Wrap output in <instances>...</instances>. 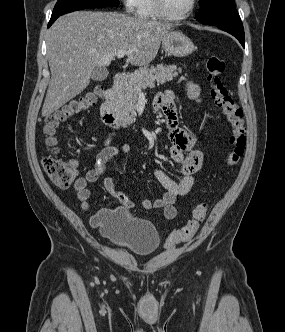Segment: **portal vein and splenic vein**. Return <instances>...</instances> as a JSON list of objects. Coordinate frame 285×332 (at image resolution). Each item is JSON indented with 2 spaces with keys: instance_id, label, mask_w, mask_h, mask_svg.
<instances>
[{
  "instance_id": "portal-vein-and-splenic-vein-1",
  "label": "portal vein and splenic vein",
  "mask_w": 285,
  "mask_h": 332,
  "mask_svg": "<svg viewBox=\"0 0 285 332\" xmlns=\"http://www.w3.org/2000/svg\"><path fill=\"white\" fill-rule=\"evenodd\" d=\"M129 54V52H127V51H123V50H120V51H118L117 53H116V56L118 57V58H122V57H124L125 55H128ZM140 95H143V93H140Z\"/></svg>"
}]
</instances>
